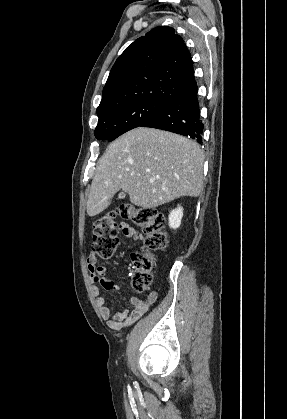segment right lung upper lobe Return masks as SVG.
I'll return each instance as SVG.
<instances>
[{
    "mask_svg": "<svg viewBox=\"0 0 287 419\" xmlns=\"http://www.w3.org/2000/svg\"><path fill=\"white\" fill-rule=\"evenodd\" d=\"M193 61L181 36L160 26L135 40L116 60L97 115L139 101L167 103L197 89Z\"/></svg>",
    "mask_w": 287,
    "mask_h": 419,
    "instance_id": "right-lung-upper-lobe-1",
    "label": "right lung upper lobe"
}]
</instances>
